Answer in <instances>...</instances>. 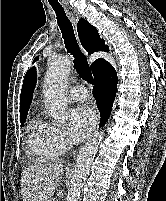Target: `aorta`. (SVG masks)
Wrapping results in <instances>:
<instances>
[{
    "label": "aorta",
    "mask_w": 166,
    "mask_h": 201,
    "mask_svg": "<svg viewBox=\"0 0 166 201\" xmlns=\"http://www.w3.org/2000/svg\"><path fill=\"white\" fill-rule=\"evenodd\" d=\"M71 59L59 57L50 62L44 79L45 107L48 115L59 123H64L68 114L66 89L70 73ZM102 135L90 138L80 149L68 189L66 201H78L84 182L90 172V166L98 151Z\"/></svg>",
    "instance_id": "1"
}]
</instances>
